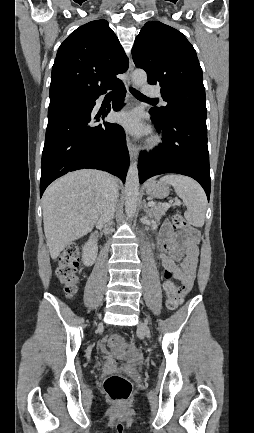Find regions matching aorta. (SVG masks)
<instances>
[{"instance_id": "obj_1", "label": "aorta", "mask_w": 254, "mask_h": 433, "mask_svg": "<svg viewBox=\"0 0 254 433\" xmlns=\"http://www.w3.org/2000/svg\"><path fill=\"white\" fill-rule=\"evenodd\" d=\"M132 81L136 87H140L147 82V74L143 70H135L132 74ZM139 196V172L137 163L129 166L125 182V211L128 217L136 213L137 201Z\"/></svg>"}]
</instances>
